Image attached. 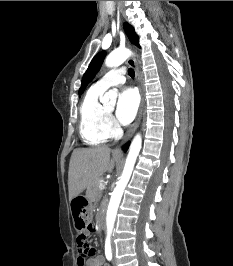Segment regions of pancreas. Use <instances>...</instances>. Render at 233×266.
I'll return each instance as SVG.
<instances>
[{"label": "pancreas", "instance_id": "obj_1", "mask_svg": "<svg viewBox=\"0 0 233 266\" xmlns=\"http://www.w3.org/2000/svg\"><path fill=\"white\" fill-rule=\"evenodd\" d=\"M102 179H99L96 183H94L91 187L87 188L86 194L89 199L92 201H99L101 197V191L99 190V183Z\"/></svg>", "mask_w": 233, "mask_h": 266}]
</instances>
